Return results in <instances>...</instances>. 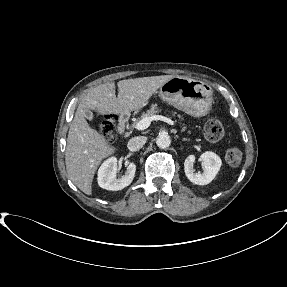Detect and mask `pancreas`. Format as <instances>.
Wrapping results in <instances>:
<instances>
[{
  "label": "pancreas",
  "instance_id": "cf45deb5",
  "mask_svg": "<svg viewBox=\"0 0 287 287\" xmlns=\"http://www.w3.org/2000/svg\"><path fill=\"white\" fill-rule=\"evenodd\" d=\"M159 111H160V109L158 108V106H157L156 104H153V105L151 106V108L146 111V113H145V112L142 113V116H141V117H142V118H144V117H151V116H153V115H156ZM175 114H176V112H172V115H173V116H175ZM178 117L181 118L180 115H179ZM137 123H138V122H134V123H133V127H135ZM183 129H185V127H184Z\"/></svg>",
  "mask_w": 287,
  "mask_h": 287
}]
</instances>
